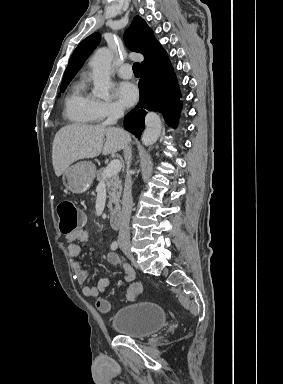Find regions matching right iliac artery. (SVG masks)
I'll return each instance as SVG.
<instances>
[{
	"instance_id": "82829eb1",
	"label": "right iliac artery",
	"mask_w": 283,
	"mask_h": 384,
	"mask_svg": "<svg viewBox=\"0 0 283 384\" xmlns=\"http://www.w3.org/2000/svg\"><path fill=\"white\" fill-rule=\"evenodd\" d=\"M118 248V241H114L112 244H111V249L112 250H116Z\"/></svg>"
}]
</instances>
